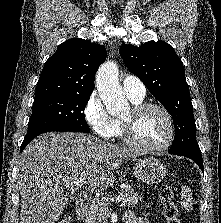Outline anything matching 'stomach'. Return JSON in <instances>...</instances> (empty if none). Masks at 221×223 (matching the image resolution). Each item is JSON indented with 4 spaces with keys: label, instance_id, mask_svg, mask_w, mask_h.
Masks as SVG:
<instances>
[{
    "label": "stomach",
    "instance_id": "1",
    "mask_svg": "<svg viewBox=\"0 0 221 223\" xmlns=\"http://www.w3.org/2000/svg\"><path fill=\"white\" fill-rule=\"evenodd\" d=\"M137 179L146 184H156L166 176L165 166L154 157H145L137 160L133 166Z\"/></svg>",
    "mask_w": 221,
    "mask_h": 223
}]
</instances>
